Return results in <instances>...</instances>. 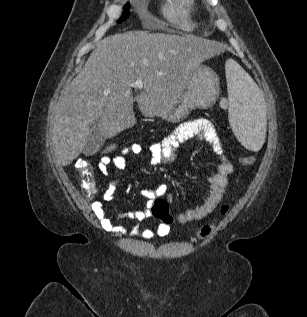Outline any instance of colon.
<instances>
[{
  "instance_id": "5ec220e1",
  "label": "colon",
  "mask_w": 307,
  "mask_h": 317,
  "mask_svg": "<svg viewBox=\"0 0 307 317\" xmlns=\"http://www.w3.org/2000/svg\"><path fill=\"white\" fill-rule=\"evenodd\" d=\"M128 146H121L115 143H109L104 146L102 153L110 157L124 156ZM240 163L244 166L253 165L256 158L252 155H244L239 159ZM75 168L81 178L82 190L87 198H92L96 193L95 182L93 178V169L88 161L85 159H78L75 163ZM230 206L224 204L220 209V214L226 215ZM152 215L159 219L163 224L169 226L173 223V217L169 211L168 202L164 199H155L151 207ZM218 224V220L203 225L198 231L200 239L207 238L212 234Z\"/></svg>"
}]
</instances>
